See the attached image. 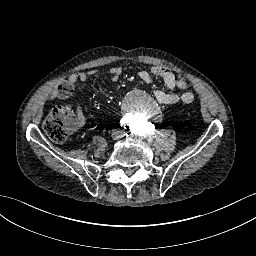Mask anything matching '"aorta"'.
<instances>
[{"instance_id": "1", "label": "aorta", "mask_w": 256, "mask_h": 256, "mask_svg": "<svg viewBox=\"0 0 256 256\" xmlns=\"http://www.w3.org/2000/svg\"><path fill=\"white\" fill-rule=\"evenodd\" d=\"M124 109L126 113L140 121L153 120L159 111L157 101L144 89H133L124 98Z\"/></svg>"}]
</instances>
